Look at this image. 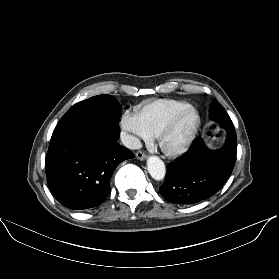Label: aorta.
<instances>
[{
  "label": "aorta",
  "instance_id": "aorta-1",
  "mask_svg": "<svg viewBox=\"0 0 279 279\" xmlns=\"http://www.w3.org/2000/svg\"><path fill=\"white\" fill-rule=\"evenodd\" d=\"M147 169L150 176L155 180H162L165 177L166 170L164 162L157 156H150L147 160Z\"/></svg>",
  "mask_w": 279,
  "mask_h": 279
}]
</instances>
